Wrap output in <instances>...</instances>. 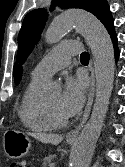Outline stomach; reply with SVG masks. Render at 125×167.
Returning <instances> with one entry per match:
<instances>
[{"instance_id": "1", "label": "stomach", "mask_w": 125, "mask_h": 167, "mask_svg": "<svg viewBox=\"0 0 125 167\" xmlns=\"http://www.w3.org/2000/svg\"><path fill=\"white\" fill-rule=\"evenodd\" d=\"M4 138L5 153L11 158H22L31 153V140L28 135L18 131H8Z\"/></svg>"}]
</instances>
